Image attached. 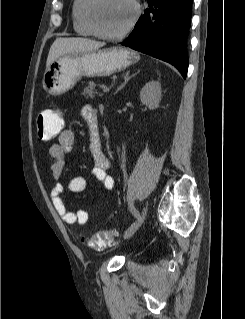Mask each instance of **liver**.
Wrapping results in <instances>:
<instances>
[{
  "instance_id": "liver-1",
  "label": "liver",
  "mask_w": 245,
  "mask_h": 319,
  "mask_svg": "<svg viewBox=\"0 0 245 319\" xmlns=\"http://www.w3.org/2000/svg\"><path fill=\"white\" fill-rule=\"evenodd\" d=\"M104 45L105 43L81 37L57 38L49 50L46 67L48 68L53 61L62 55L73 52L96 51Z\"/></svg>"
}]
</instances>
